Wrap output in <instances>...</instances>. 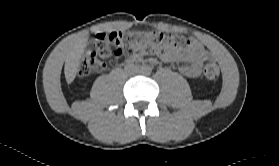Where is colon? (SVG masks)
Listing matches in <instances>:
<instances>
[{
    "mask_svg": "<svg viewBox=\"0 0 279 166\" xmlns=\"http://www.w3.org/2000/svg\"><path fill=\"white\" fill-rule=\"evenodd\" d=\"M190 44L186 38L158 30L115 31L96 34L84 53L78 75L86 77L104 71L120 57H133L139 52H171L185 50ZM203 75L210 81L220 76V67L214 61L205 63Z\"/></svg>",
    "mask_w": 279,
    "mask_h": 166,
    "instance_id": "obj_1",
    "label": "colon"
}]
</instances>
